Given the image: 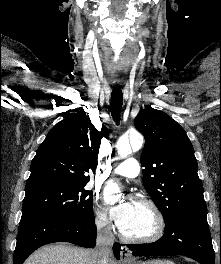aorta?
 Here are the masks:
<instances>
[{
	"instance_id": "1",
	"label": "aorta",
	"mask_w": 221,
	"mask_h": 264,
	"mask_svg": "<svg viewBox=\"0 0 221 264\" xmlns=\"http://www.w3.org/2000/svg\"><path fill=\"white\" fill-rule=\"evenodd\" d=\"M143 145V136L139 133L130 135V138H120L117 142V153L120 157L125 158L132 153V150L137 151ZM119 192V188L116 183L110 181L105 187V193L110 195Z\"/></svg>"
}]
</instances>
